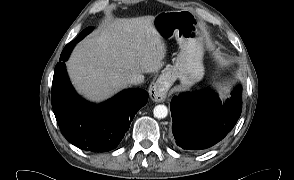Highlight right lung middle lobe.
<instances>
[{
  "label": "right lung middle lobe",
  "mask_w": 294,
  "mask_h": 180,
  "mask_svg": "<svg viewBox=\"0 0 294 180\" xmlns=\"http://www.w3.org/2000/svg\"><path fill=\"white\" fill-rule=\"evenodd\" d=\"M92 31V27H88V28H86L84 31H82L81 33H80V35L79 36H82V37H85L88 33H90ZM78 36V37H79Z\"/></svg>",
  "instance_id": "right-lung-middle-lobe-1"
}]
</instances>
